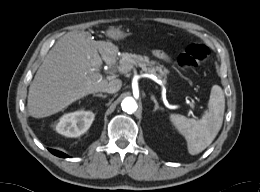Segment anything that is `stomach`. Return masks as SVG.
Masks as SVG:
<instances>
[{"label": "stomach", "instance_id": "1", "mask_svg": "<svg viewBox=\"0 0 260 192\" xmlns=\"http://www.w3.org/2000/svg\"><path fill=\"white\" fill-rule=\"evenodd\" d=\"M125 37L124 33L119 29H113L112 38L115 40L123 39Z\"/></svg>", "mask_w": 260, "mask_h": 192}]
</instances>
